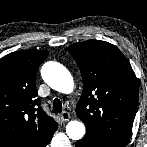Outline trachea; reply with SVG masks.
I'll use <instances>...</instances> for the list:
<instances>
[{
	"mask_svg": "<svg viewBox=\"0 0 147 147\" xmlns=\"http://www.w3.org/2000/svg\"><path fill=\"white\" fill-rule=\"evenodd\" d=\"M61 112H62V103L58 98H55L53 101L52 113H61Z\"/></svg>",
	"mask_w": 147,
	"mask_h": 147,
	"instance_id": "3493384b",
	"label": "trachea"
}]
</instances>
